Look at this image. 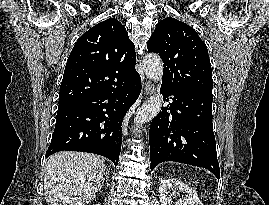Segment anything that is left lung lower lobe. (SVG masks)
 <instances>
[{"instance_id": "0a47b994", "label": "left lung lower lobe", "mask_w": 269, "mask_h": 205, "mask_svg": "<svg viewBox=\"0 0 269 205\" xmlns=\"http://www.w3.org/2000/svg\"><path fill=\"white\" fill-rule=\"evenodd\" d=\"M161 92L164 98L173 97L172 103L162 108L150 126L151 170L161 162L175 161L206 168L219 179L212 125L213 95L181 93L165 85H161Z\"/></svg>"}]
</instances>
